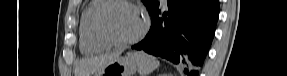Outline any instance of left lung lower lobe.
Here are the masks:
<instances>
[{
	"mask_svg": "<svg viewBox=\"0 0 287 76\" xmlns=\"http://www.w3.org/2000/svg\"><path fill=\"white\" fill-rule=\"evenodd\" d=\"M150 12L151 28L145 39L132 46L149 54L184 64V72L198 76L212 43L219 15V0H167Z\"/></svg>",
	"mask_w": 287,
	"mask_h": 76,
	"instance_id": "0a47b994",
	"label": "left lung lower lobe"
}]
</instances>
